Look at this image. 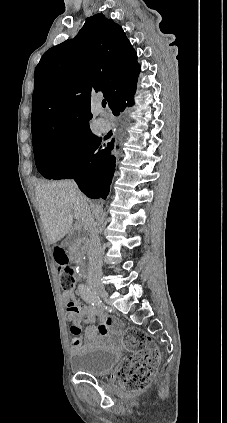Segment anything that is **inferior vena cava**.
I'll return each instance as SVG.
<instances>
[{
    "instance_id": "obj_1",
    "label": "inferior vena cava",
    "mask_w": 227,
    "mask_h": 423,
    "mask_svg": "<svg viewBox=\"0 0 227 423\" xmlns=\"http://www.w3.org/2000/svg\"><path fill=\"white\" fill-rule=\"evenodd\" d=\"M84 211H83V225L89 231V249L88 255L90 257L89 261V269H88V281L89 283H93V281H99L102 275V247H101V239L98 235V229L95 225L101 223V217H96V221L94 219V215H92L91 211L89 210L88 204L84 202Z\"/></svg>"
}]
</instances>
